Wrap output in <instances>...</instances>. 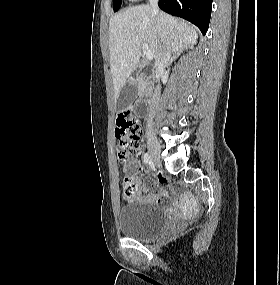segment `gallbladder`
<instances>
[{
	"mask_svg": "<svg viewBox=\"0 0 280 285\" xmlns=\"http://www.w3.org/2000/svg\"><path fill=\"white\" fill-rule=\"evenodd\" d=\"M138 96V84L136 82H127L121 89L120 95L116 101V111L122 112L127 109Z\"/></svg>",
	"mask_w": 280,
	"mask_h": 285,
	"instance_id": "bac80fb5",
	"label": "gallbladder"
}]
</instances>
